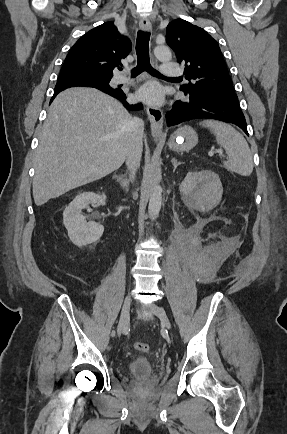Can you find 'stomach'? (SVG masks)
<instances>
[{
	"label": "stomach",
	"instance_id": "stomach-1",
	"mask_svg": "<svg viewBox=\"0 0 287 434\" xmlns=\"http://www.w3.org/2000/svg\"><path fill=\"white\" fill-rule=\"evenodd\" d=\"M198 143L197 133L188 126H184L175 131L169 141V149L175 152L189 151Z\"/></svg>",
	"mask_w": 287,
	"mask_h": 434
}]
</instances>
